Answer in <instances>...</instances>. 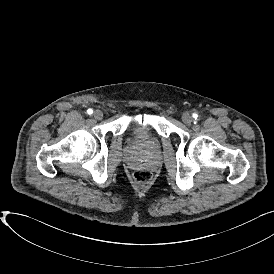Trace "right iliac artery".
<instances>
[{
    "label": "right iliac artery",
    "mask_w": 274,
    "mask_h": 274,
    "mask_svg": "<svg viewBox=\"0 0 274 274\" xmlns=\"http://www.w3.org/2000/svg\"><path fill=\"white\" fill-rule=\"evenodd\" d=\"M87 113H88L89 115H91V114L93 113V110H92V109H88V110H87Z\"/></svg>",
    "instance_id": "82829eb1"
}]
</instances>
